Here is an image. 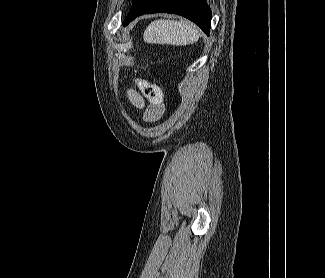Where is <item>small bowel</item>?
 Returning <instances> with one entry per match:
<instances>
[{
	"mask_svg": "<svg viewBox=\"0 0 325 278\" xmlns=\"http://www.w3.org/2000/svg\"><path fill=\"white\" fill-rule=\"evenodd\" d=\"M127 95L129 100L135 107L142 110L144 109L143 111L144 121L155 122L161 117L163 113V107L159 108L154 105H149L147 108H145V100L143 96L136 90L129 89Z\"/></svg>",
	"mask_w": 325,
	"mask_h": 278,
	"instance_id": "small-bowel-1",
	"label": "small bowel"
}]
</instances>
